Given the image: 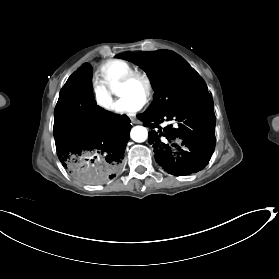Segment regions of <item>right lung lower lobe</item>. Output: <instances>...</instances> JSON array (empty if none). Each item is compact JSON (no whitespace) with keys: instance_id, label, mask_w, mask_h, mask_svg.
<instances>
[{"instance_id":"1","label":"right lung lower lobe","mask_w":279,"mask_h":279,"mask_svg":"<svg viewBox=\"0 0 279 279\" xmlns=\"http://www.w3.org/2000/svg\"><path fill=\"white\" fill-rule=\"evenodd\" d=\"M91 90L92 68L85 63L60 91L54 138L63 167L76 179L99 185L119 175L131 125L127 116L99 107Z\"/></svg>"}]
</instances>
